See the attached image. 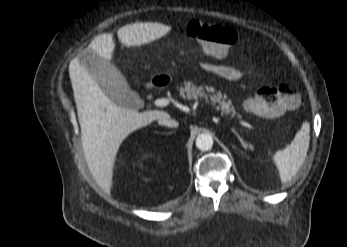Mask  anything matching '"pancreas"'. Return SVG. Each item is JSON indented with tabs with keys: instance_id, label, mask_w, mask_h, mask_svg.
Instances as JSON below:
<instances>
[{
	"instance_id": "1",
	"label": "pancreas",
	"mask_w": 347,
	"mask_h": 247,
	"mask_svg": "<svg viewBox=\"0 0 347 247\" xmlns=\"http://www.w3.org/2000/svg\"><path fill=\"white\" fill-rule=\"evenodd\" d=\"M183 85H177L176 89L179 95L188 100H202L210 103L217 111H221L224 115H230L231 118L236 117L241 119L242 116L235 110L232 101L227 99L226 95H222L220 91H215L214 88H206L197 86L193 82L184 81Z\"/></svg>"
}]
</instances>
